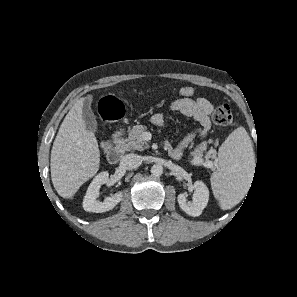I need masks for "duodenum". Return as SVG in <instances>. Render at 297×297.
<instances>
[{
    "label": "duodenum",
    "instance_id": "410a0bca",
    "mask_svg": "<svg viewBox=\"0 0 297 297\" xmlns=\"http://www.w3.org/2000/svg\"><path fill=\"white\" fill-rule=\"evenodd\" d=\"M124 153L123 131H118L113 135L112 146L107 153L108 161L116 164L121 160Z\"/></svg>",
    "mask_w": 297,
    "mask_h": 297
}]
</instances>
